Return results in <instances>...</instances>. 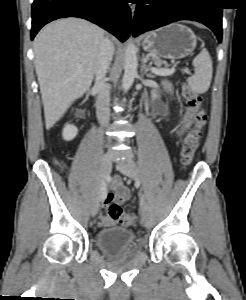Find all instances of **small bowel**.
Masks as SVG:
<instances>
[{"instance_id": "1", "label": "small bowel", "mask_w": 246, "mask_h": 300, "mask_svg": "<svg viewBox=\"0 0 246 300\" xmlns=\"http://www.w3.org/2000/svg\"><path fill=\"white\" fill-rule=\"evenodd\" d=\"M194 110L193 109H188L185 117H184V126H188L191 123L192 116H193ZM161 119H165V115H160ZM182 131L178 132L180 135ZM129 198V192L128 190L122 185L119 179H115L113 184H112V191L109 192L108 194L106 193V196L103 199V202H105L106 199L109 200V202L115 201L118 204L124 203L127 199ZM97 223L100 226H109L114 224V220L109 218L105 214H98L97 216Z\"/></svg>"}]
</instances>
